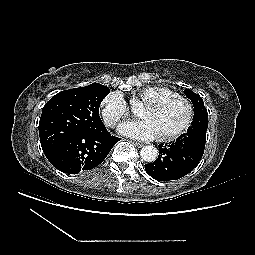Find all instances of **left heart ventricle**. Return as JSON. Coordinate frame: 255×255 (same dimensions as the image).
Here are the masks:
<instances>
[{"mask_svg": "<svg viewBox=\"0 0 255 255\" xmlns=\"http://www.w3.org/2000/svg\"><path fill=\"white\" fill-rule=\"evenodd\" d=\"M140 118L154 120L161 136L179 128L184 123L186 109L178 102H170L159 108L145 105Z\"/></svg>", "mask_w": 255, "mask_h": 255, "instance_id": "b2bd125f", "label": "left heart ventricle"}]
</instances>
